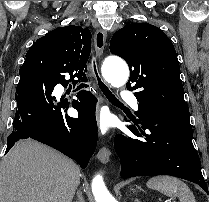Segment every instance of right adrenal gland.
I'll list each match as a JSON object with an SVG mask.
<instances>
[{"label":"right adrenal gland","instance_id":"right-adrenal-gland-1","mask_svg":"<svg viewBox=\"0 0 209 202\" xmlns=\"http://www.w3.org/2000/svg\"><path fill=\"white\" fill-rule=\"evenodd\" d=\"M75 202H85L81 190H78V191H77V200H76Z\"/></svg>","mask_w":209,"mask_h":202}]
</instances>
